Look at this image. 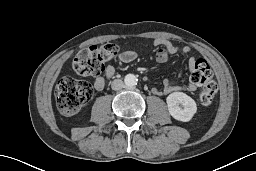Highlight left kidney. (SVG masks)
Here are the masks:
<instances>
[{
  "instance_id": "5707ae66",
  "label": "left kidney",
  "mask_w": 256,
  "mask_h": 171,
  "mask_svg": "<svg viewBox=\"0 0 256 171\" xmlns=\"http://www.w3.org/2000/svg\"><path fill=\"white\" fill-rule=\"evenodd\" d=\"M170 115L182 122H188L197 111L195 101L183 92H173L166 99Z\"/></svg>"
}]
</instances>
